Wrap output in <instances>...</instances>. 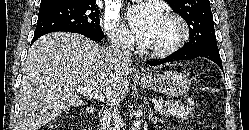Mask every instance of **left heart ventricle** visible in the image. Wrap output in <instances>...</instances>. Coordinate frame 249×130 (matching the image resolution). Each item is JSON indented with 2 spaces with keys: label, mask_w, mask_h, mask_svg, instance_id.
Masks as SVG:
<instances>
[{
  "label": "left heart ventricle",
  "mask_w": 249,
  "mask_h": 130,
  "mask_svg": "<svg viewBox=\"0 0 249 130\" xmlns=\"http://www.w3.org/2000/svg\"><path fill=\"white\" fill-rule=\"evenodd\" d=\"M178 34L179 29L177 24L173 20L163 16L147 47L152 49L165 47L171 44L177 38Z\"/></svg>",
  "instance_id": "1"
}]
</instances>
